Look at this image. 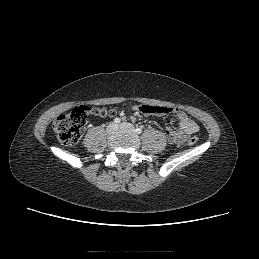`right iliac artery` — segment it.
I'll list each match as a JSON object with an SVG mask.
<instances>
[{
	"mask_svg": "<svg viewBox=\"0 0 259 259\" xmlns=\"http://www.w3.org/2000/svg\"><path fill=\"white\" fill-rule=\"evenodd\" d=\"M120 121H121L120 118H115V119H114V123H115V124H119Z\"/></svg>",
	"mask_w": 259,
	"mask_h": 259,
	"instance_id": "82829eb1",
	"label": "right iliac artery"
}]
</instances>
